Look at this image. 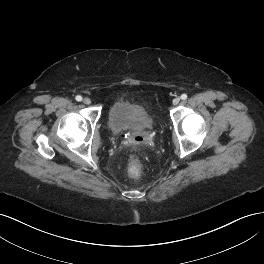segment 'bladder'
Masks as SVG:
<instances>
[{"instance_id": "31cf9c89", "label": "bladder", "mask_w": 264, "mask_h": 264, "mask_svg": "<svg viewBox=\"0 0 264 264\" xmlns=\"http://www.w3.org/2000/svg\"><path fill=\"white\" fill-rule=\"evenodd\" d=\"M107 123L114 133L145 130L152 127L153 117L146 107L130 100L119 99L109 106Z\"/></svg>"}]
</instances>
